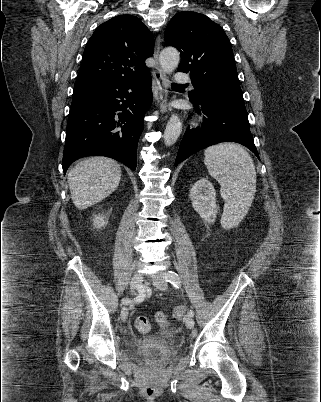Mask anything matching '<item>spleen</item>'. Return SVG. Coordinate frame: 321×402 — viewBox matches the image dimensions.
Instances as JSON below:
<instances>
[{"mask_svg":"<svg viewBox=\"0 0 321 402\" xmlns=\"http://www.w3.org/2000/svg\"><path fill=\"white\" fill-rule=\"evenodd\" d=\"M204 164L221 186L225 201L221 224L237 225L248 212L256 191V170L249 153L235 143L213 145L204 151Z\"/></svg>","mask_w":321,"mask_h":402,"instance_id":"spleen-1","label":"spleen"}]
</instances>
